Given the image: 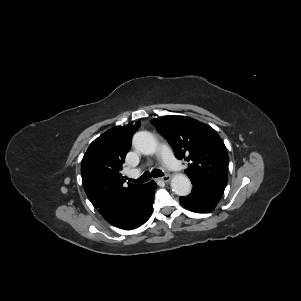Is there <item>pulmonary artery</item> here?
<instances>
[{
	"label": "pulmonary artery",
	"mask_w": 301,
	"mask_h": 301,
	"mask_svg": "<svg viewBox=\"0 0 301 301\" xmlns=\"http://www.w3.org/2000/svg\"><path fill=\"white\" fill-rule=\"evenodd\" d=\"M159 155L164 162V164L172 171H181L182 166L176 160L171 150L166 145H161L159 147ZM139 174V170H133L130 175L135 177Z\"/></svg>",
	"instance_id": "obj_1"
}]
</instances>
